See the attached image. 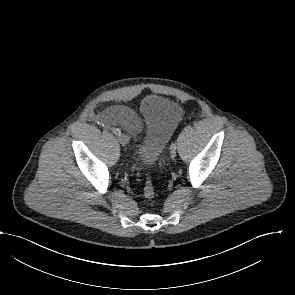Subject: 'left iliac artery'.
I'll use <instances>...</instances> for the list:
<instances>
[{
	"mask_svg": "<svg viewBox=\"0 0 295 295\" xmlns=\"http://www.w3.org/2000/svg\"><path fill=\"white\" fill-rule=\"evenodd\" d=\"M173 148H175V149L177 148L175 143H171V145H170V149H173Z\"/></svg>",
	"mask_w": 295,
	"mask_h": 295,
	"instance_id": "left-iliac-artery-1",
	"label": "left iliac artery"
}]
</instances>
